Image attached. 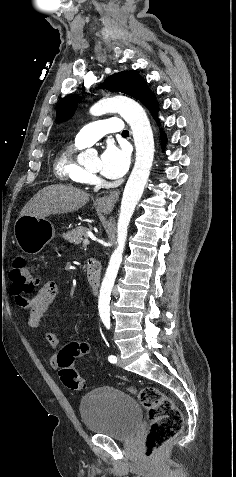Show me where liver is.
<instances>
[{"instance_id":"obj_1","label":"liver","mask_w":236,"mask_h":477,"mask_svg":"<svg viewBox=\"0 0 236 477\" xmlns=\"http://www.w3.org/2000/svg\"><path fill=\"white\" fill-rule=\"evenodd\" d=\"M89 201L86 192L62 184L50 185L41 189L23 207L20 216L31 215L45 218L57 213H70L82 208Z\"/></svg>"}]
</instances>
